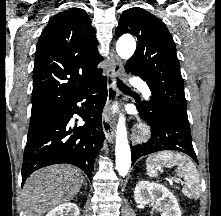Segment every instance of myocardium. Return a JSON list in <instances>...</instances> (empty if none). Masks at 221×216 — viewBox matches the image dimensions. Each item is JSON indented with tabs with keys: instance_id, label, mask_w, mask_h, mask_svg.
<instances>
[{
	"instance_id": "myocardium-1",
	"label": "myocardium",
	"mask_w": 221,
	"mask_h": 216,
	"mask_svg": "<svg viewBox=\"0 0 221 216\" xmlns=\"http://www.w3.org/2000/svg\"><path fill=\"white\" fill-rule=\"evenodd\" d=\"M149 133V129L146 126H140L138 127L137 131H136V138L137 139H142L144 137H146Z\"/></svg>"
}]
</instances>
